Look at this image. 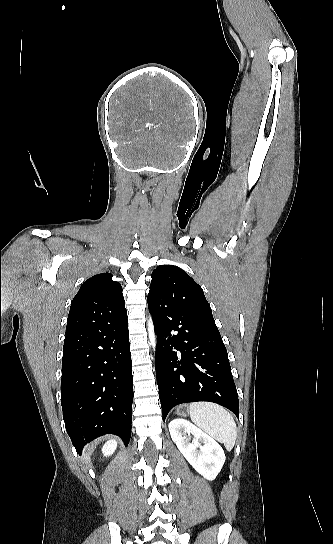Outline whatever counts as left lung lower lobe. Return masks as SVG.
I'll return each instance as SVG.
<instances>
[{
	"label": "left lung lower lobe",
	"mask_w": 333,
	"mask_h": 544,
	"mask_svg": "<svg viewBox=\"0 0 333 544\" xmlns=\"http://www.w3.org/2000/svg\"><path fill=\"white\" fill-rule=\"evenodd\" d=\"M157 347L155 366L165 420L176 405L209 401L239 417V400L228 354L215 323L152 306Z\"/></svg>",
	"instance_id": "1"
}]
</instances>
